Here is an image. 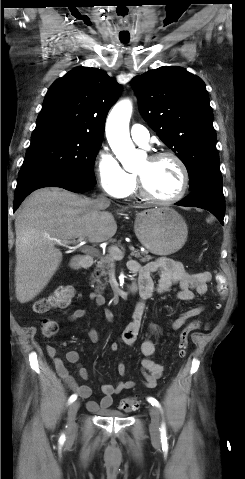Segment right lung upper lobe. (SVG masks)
Wrapping results in <instances>:
<instances>
[{
	"instance_id": "obj_1",
	"label": "right lung upper lobe",
	"mask_w": 245,
	"mask_h": 479,
	"mask_svg": "<svg viewBox=\"0 0 245 479\" xmlns=\"http://www.w3.org/2000/svg\"><path fill=\"white\" fill-rule=\"evenodd\" d=\"M120 86L97 68L77 67L49 88L36 128H64L102 140L107 113Z\"/></svg>"
}]
</instances>
